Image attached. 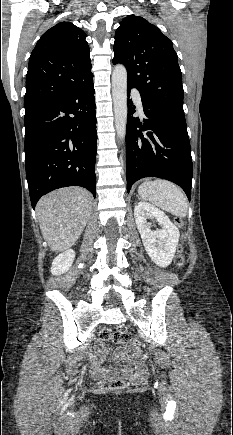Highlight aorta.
<instances>
[{
  "instance_id": "762f6f07",
  "label": "aorta",
  "mask_w": 233,
  "mask_h": 435,
  "mask_svg": "<svg viewBox=\"0 0 233 435\" xmlns=\"http://www.w3.org/2000/svg\"><path fill=\"white\" fill-rule=\"evenodd\" d=\"M112 96L114 103L115 129L117 136L123 140L127 124V70L123 65H116L112 73Z\"/></svg>"
}]
</instances>
